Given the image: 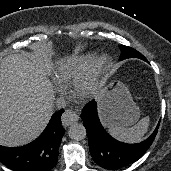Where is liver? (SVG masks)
<instances>
[{"label":"liver","instance_id":"obj_1","mask_svg":"<svg viewBox=\"0 0 171 171\" xmlns=\"http://www.w3.org/2000/svg\"><path fill=\"white\" fill-rule=\"evenodd\" d=\"M53 103V88L39 64L21 54L0 61V145L22 146L37 138L53 114Z\"/></svg>","mask_w":171,"mask_h":171}]
</instances>
